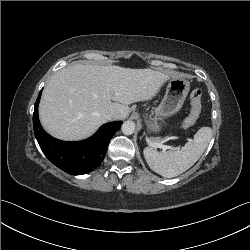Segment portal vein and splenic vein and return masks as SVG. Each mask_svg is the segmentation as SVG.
Wrapping results in <instances>:
<instances>
[{"label":"portal vein and splenic vein","mask_w":250,"mask_h":250,"mask_svg":"<svg viewBox=\"0 0 250 250\" xmlns=\"http://www.w3.org/2000/svg\"><path fill=\"white\" fill-rule=\"evenodd\" d=\"M170 139H179V137L172 136V137H170ZM188 141L190 142L191 140L188 139ZM153 146L157 147V148H161V149H163V151H166L167 149H173L171 146L163 145L162 142L154 143Z\"/></svg>","instance_id":"portal-vein-and-splenic-vein-1"}]
</instances>
